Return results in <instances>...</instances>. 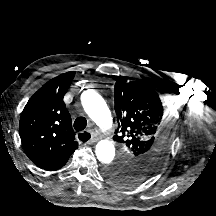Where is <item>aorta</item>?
Returning <instances> with one entry per match:
<instances>
[{
  "mask_svg": "<svg viewBox=\"0 0 216 216\" xmlns=\"http://www.w3.org/2000/svg\"><path fill=\"white\" fill-rule=\"evenodd\" d=\"M81 102L85 112L104 131L112 127L111 113L104 99L95 91L87 90L81 95ZM98 160L103 164H110L115 157V146L108 139L97 143L95 149Z\"/></svg>",
  "mask_w": 216,
  "mask_h": 216,
  "instance_id": "762f6f07",
  "label": "aorta"
}]
</instances>
